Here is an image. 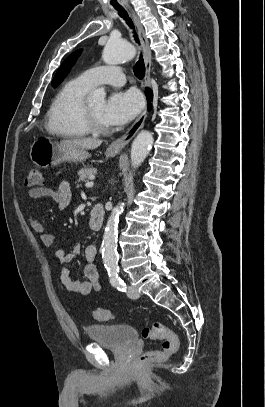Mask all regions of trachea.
Listing matches in <instances>:
<instances>
[{"label":"trachea","mask_w":265,"mask_h":407,"mask_svg":"<svg viewBox=\"0 0 265 407\" xmlns=\"http://www.w3.org/2000/svg\"><path fill=\"white\" fill-rule=\"evenodd\" d=\"M116 10L118 11V14L125 19L126 23L128 24V26L131 29H134V25L132 20L128 17L127 12L122 8V7H116ZM135 40L137 43H139L138 37L135 34L134 35ZM134 74L138 79H143L144 75H145V65L143 62V58H142V54L140 55V58L138 60V62L135 64L134 68H133Z\"/></svg>","instance_id":"1"}]
</instances>
